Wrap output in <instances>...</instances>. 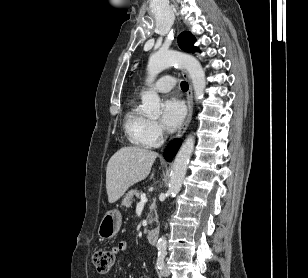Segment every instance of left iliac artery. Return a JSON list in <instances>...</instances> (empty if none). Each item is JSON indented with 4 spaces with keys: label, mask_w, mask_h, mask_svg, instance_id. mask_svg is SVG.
I'll use <instances>...</instances> for the list:
<instances>
[{
    "label": "left iliac artery",
    "mask_w": 308,
    "mask_h": 278,
    "mask_svg": "<svg viewBox=\"0 0 308 278\" xmlns=\"http://www.w3.org/2000/svg\"><path fill=\"white\" fill-rule=\"evenodd\" d=\"M167 252L165 248H159L158 258H157V268L162 269L164 266V259Z\"/></svg>",
    "instance_id": "left-iliac-artery-1"
}]
</instances>
